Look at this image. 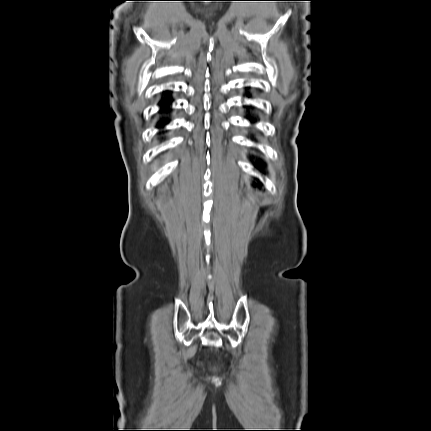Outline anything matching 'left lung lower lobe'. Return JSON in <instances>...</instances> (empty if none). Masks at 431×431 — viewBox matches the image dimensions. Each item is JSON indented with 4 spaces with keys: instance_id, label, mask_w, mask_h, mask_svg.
<instances>
[{
    "instance_id": "0a47b994",
    "label": "left lung lower lobe",
    "mask_w": 431,
    "mask_h": 431,
    "mask_svg": "<svg viewBox=\"0 0 431 431\" xmlns=\"http://www.w3.org/2000/svg\"><path fill=\"white\" fill-rule=\"evenodd\" d=\"M250 120H251V121H254V119H251V118H250Z\"/></svg>"
}]
</instances>
